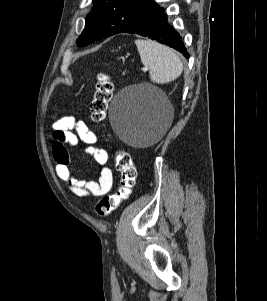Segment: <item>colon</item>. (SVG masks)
I'll use <instances>...</instances> for the list:
<instances>
[{
  "instance_id": "1",
  "label": "colon",
  "mask_w": 267,
  "mask_h": 301,
  "mask_svg": "<svg viewBox=\"0 0 267 301\" xmlns=\"http://www.w3.org/2000/svg\"><path fill=\"white\" fill-rule=\"evenodd\" d=\"M112 93L113 83L111 76L107 73H100L90 104L91 118L94 122H101L106 118L108 103ZM115 165L121 174L120 186L114 194L103 197L97 204L96 212L102 217L110 215L122 202L127 200L135 185L137 171L130 155L126 152H118L115 156Z\"/></svg>"
}]
</instances>
